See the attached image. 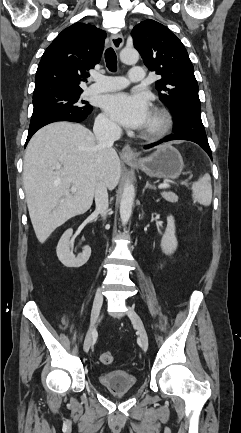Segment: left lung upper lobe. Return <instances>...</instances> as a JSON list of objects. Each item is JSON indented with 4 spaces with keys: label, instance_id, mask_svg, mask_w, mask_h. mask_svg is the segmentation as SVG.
I'll return each mask as SVG.
<instances>
[{
    "label": "left lung upper lobe",
    "instance_id": "obj_1",
    "mask_svg": "<svg viewBox=\"0 0 241 433\" xmlns=\"http://www.w3.org/2000/svg\"><path fill=\"white\" fill-rule=\"evenodd\" d=\"M131 34L144 64L162 76L155 86L174 117L175 135L209 145L201 120L198 84L182 42L167 27L151 19L136 25Z\"/></svg>",
    "mask_w": 241,
    "mask_h": 433
}]
</instances>
